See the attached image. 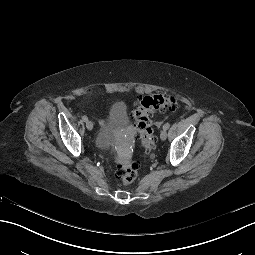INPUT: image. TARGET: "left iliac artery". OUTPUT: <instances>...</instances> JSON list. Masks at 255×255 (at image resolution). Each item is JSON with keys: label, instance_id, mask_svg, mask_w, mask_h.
<instances>
[{"label": "left iliac artery", "instance_id": "obj_1", "mask_svg": "<svg viewBox=\"0 0 255 255\" xmlns=\"http://www.w3.org/2000/svg\"><path fill=\"white\" fill-rule=\"evenodd\" d=\"M169 127H170V124L169 123H165L164 126H163V129L168 130Z\"/></svg>", "mask_w": 255, "mask_h": 255}]
</instances>
